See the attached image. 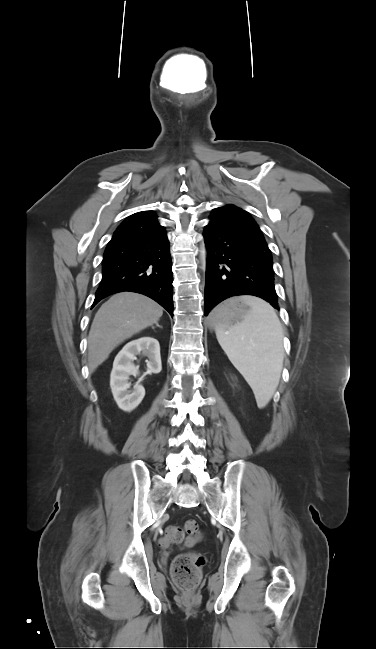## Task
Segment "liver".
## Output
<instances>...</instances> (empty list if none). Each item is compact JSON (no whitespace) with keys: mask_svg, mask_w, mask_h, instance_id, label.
Returning a JSON list of instances; mask_svg holds the SVG:
<instances>
[{"mask_svg":"<svg viewBox=\"0 0 376 649\" xmlns=\"http://www.w3.org/2000/svg\"><path fill=\"white\" fill-rule=\"evenodd\" d=\"M162 307L134 292L117 293L97 311L88 336L90 372L102 364L124 340L159 321Z\"/></svg>","mask_w":376,"mask_h":649,"instance_id":"6515ba94","label":"liver"}]
</instances>
